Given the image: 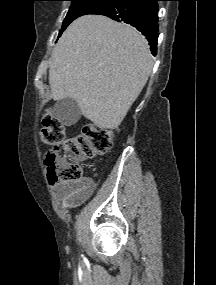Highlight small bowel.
<instances>
[{
  "label": "small bowel",
  "mask_w": 216,
  "mask_h": 285,
  "mask_svg": "<svg viewBox=\"0 0 216 285\" xmlns=\"http://www.w3.org/2000/svg\"><path fill=\"white\" fill-rule=\"evenodd\" d=\"M95 184L89 178L75 183H57L53 186L55 197L66 207H76L85 202L94 192Z\"/></svg>",
  "instance_id": "c3829d8e"
}]
</instances>
